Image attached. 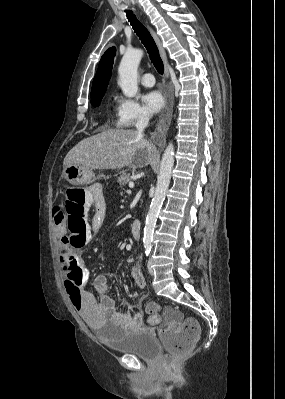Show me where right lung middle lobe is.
Segmentation results:
<instances>
[{"mask_svg": "<svg viewBox=\"0 0 285 399\" xmlns=\"http://www.w3.org/2000/svg\"><path fill=\"white\" fill-rule=\"evenodd\" d=\"M104 93H101V94H98V95H95V96L91 97V104L94 107L99 106V104H100V102H101V100H102V98L104 96Z\"/></svg>", "mask_w": 285, "mask_h": 399, "instance_id": "obj_1", "label": "right lung middle lobe"}]
</instances>
